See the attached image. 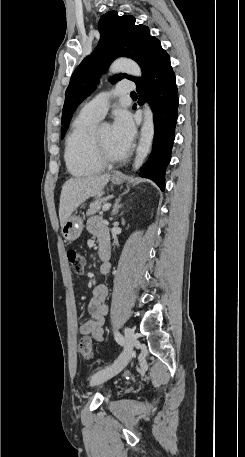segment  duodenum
Returning a JSON list of instances; mask_svg holds the SVG:
<instances>
[{"label":"duodenum","mask_w":245,"mask_h":457,"mask_svg":"<svg viewBox=\"0 0 245 457\" xmlns=\"http://www.w3.org/2000/svg\"><path fill=\"white\" fill-rule=\"evenodd\" d=\"M99 256L103 262H107L110 258V252L105 248H101L99 250Z\"/></svg>","instance_id":"obj_1"}]
</instances>
